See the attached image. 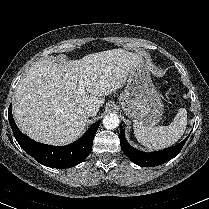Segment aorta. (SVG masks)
Instances as JSON below:
<instances>
[{"label": "aorta", "mask_w": 209, "mask_h": 209, "mask_svg": "<svg viewBox=\"0 0 209 209\" xmlns=\"http://www.w3.org/2000/svg\"><path fill=\"white\" fill-rule=\"evenodd\" d=\"M119 118L116 114H109L103 118V126L106 129H115L119 126Z\"/></svg>", "instance_id": "obj_1"}]
</instances>
